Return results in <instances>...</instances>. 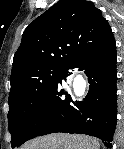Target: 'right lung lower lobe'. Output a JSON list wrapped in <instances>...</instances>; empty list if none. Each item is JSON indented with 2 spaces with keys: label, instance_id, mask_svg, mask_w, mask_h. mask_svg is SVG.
I'll list each match as a JSON object with an SVG mask.
<instances>
[{
  "label": "right lung lower lobe",
  "instance_id": "1",
  "mask_svg": "<svg viewBox=\"0 0 124 149\" xmlns=\"http://www.w3.org/2000/svg\"><path fill=\"white\" fill-rule=\"evenodd\" d=\"M116 43L105 45L67 64L49 94L29 121L18 144L51 133L86 134L112 147L116 126ZM75 68L88 77L89 91L83 101L75 100L62 80Z\"/></svg>",
  "mask_w": 124,
  "mask_h": 149
}]
</instances>
